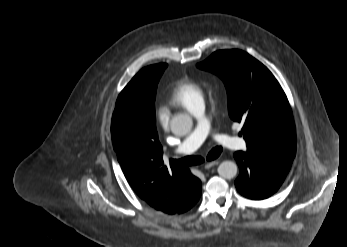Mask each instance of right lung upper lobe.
Wrapping results in <instances>:
<instances>
[{
	"mask_svg": "<svg viewBox=\"0 0 347 247\" xmlns=\"http://www.w3.org/2000/svg\"><path fill=\"white\" fill-rule=\"evenodd\" d=\"M140 92L141 83L133 78L118 97L111 126L113 147L137 195L156 210L175 214L201 191V182L186 167L164 165L152 114L134 104Z\"/></svg>",
	"mask_w": 347,
	"mask_h": 247,
	"instance_id": "1",
	"label": "right lung upper lobe"
}]
</instances>
